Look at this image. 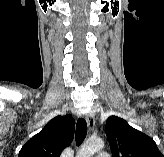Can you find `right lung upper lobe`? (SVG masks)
<instances>
[{
	"label": "right lung upper lobe",
	"mask_w": 164,
	"mask_h": 157,
	"mask_svg": "<svg viewBox=\"0 0 164 157\" xmlns=\"http://www.w3.org/2000/svg\"><path fill=\"white\" fill-rule=\"evenodd\" d=\"M74 126L72 116L53 118L21 148L18 157H60L73 140Z\"/></svg>",
	"instance_id": "right-lung-upper-lobe-1"
}]
</instances>
